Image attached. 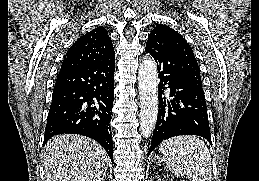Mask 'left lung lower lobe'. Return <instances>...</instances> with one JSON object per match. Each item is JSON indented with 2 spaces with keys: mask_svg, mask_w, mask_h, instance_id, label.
<instances>
[{
  "mask_svg": "<svg viewBox=\"0 0 259 181\" xmlns=\"http://www.w3.org/2000/svg\"><path fill=\"white\" fill-rule=\"evenodd\" d=\"M145 51L155 59L160 78L159 110L149 154L162 141L178 135H198L211 143L204 91L179 72L175 47L170 43L146 44ZM165 85H168L170 100L162 98Z\"/></svg>",
  "mask_w": 259,
  "mask_h": 181,
  "instance_id": "left-lung-lower-lobe-1",
  "label": "left lung lower lobe"
}]
</instances>
